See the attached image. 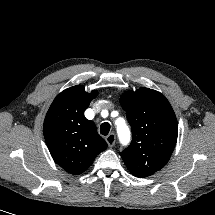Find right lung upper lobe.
<instances>
[{"label": "right lung upper lobe", "mask_w": 215, "mask_h": 215, "mask_svg": "<svg viewBox=\"0 0 215 215\" xmlns=\"http://www.w3.org/2000/svg\"><path fill=\"white\" fill-rule=\"evenodd\" d=\"M97 91L87 93L82 85L62 91L44 120V137L54 161L71 174L83 173L107 144L84 111Z\"/></svg>", "instance_id": "cb5924a9"}]
</instances>
